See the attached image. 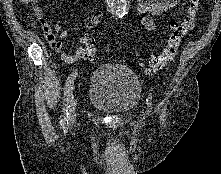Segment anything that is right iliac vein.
Segmentation results:
<instances>
[{
  "mask_svg": "<svg viewBox=\"0 0 221 174\" xmlns=\"http://www.w3.org/2000/svg\"><path fill=\"white\" fill-rule=\"evenodd\" d=\"M69 120H70L71 124L75 123V121H76V101H75V99L71 100Z\"/></svg>",
  "mask_w": 221,
  "mask_h": 174,
  "instance_id": "right-iliac-vein-1",
  "label": "right iliac vein"
}]
</instances>
